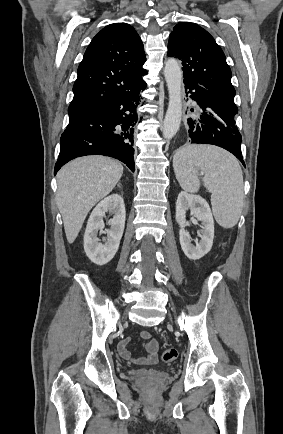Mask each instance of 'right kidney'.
<instances>
[{
	"mask_svg": "<svg viewBox=\"0 0 283 434\" xmlns=\"http://www.w3.org/2000/svg\"><path fill=\"white\" fill-rule=\"evenodd\" d=\"M107 212L114 214L110 219V229L104 230L103 217ZM125 205L123 198L112 194L102 200L92 211L84 234V251L96 265H105L115 256L125 227ZM99 234H107L103 243L99 242Z\"/></svg>",
	"mask_w": 283,
	"mask_h": 434,
	"instance_id": "obj_1",
	"label": "right kidney"
}]
</instances>
